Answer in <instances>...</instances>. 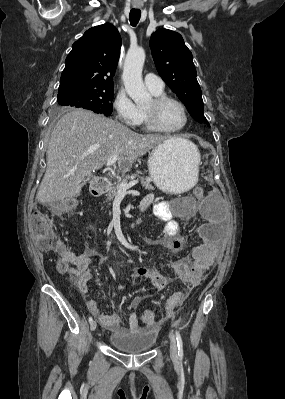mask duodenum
Returning a JSON list of instances; mask_svg holds the SVG:
<instances>
[{"label":"duodenum","mask_w":285,"mask_h":399,"mask_svg":"<svg viewBox=\"0 0 285 399\" xmlns=\"http://www.w3.org/2000/svg\"><path fill=\"white\" fill-rule=\"evenodd\" d=\"M107 189V184L102 182V183H98V184H93L91 186V193L93 196H102ZM141 211H144V209H141ZM137 227V223H134L131 228L135 229Z\"/></svg>","instance_id":"1"}]
</instances>
